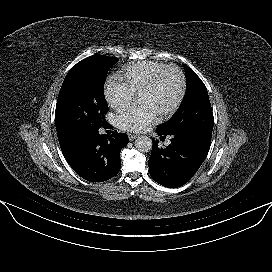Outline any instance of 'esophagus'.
<instances>
[{
	"mask_svg": "<svg viewBox=\"0 0 272 272\" xmlns=\"http://www.w3.org/2000/svg\"><path fill=\"white\" fill-rule=\"evenodd\" d=\"M137 137H138V136L135 135V134H128V138H129L130 141L136 139Z\"/></svg>",
	"mask_w": 272,
	"mask_h": 272,
	"instance_id": "obj_1",
	"label": "esophagus"
}]
</instances>
